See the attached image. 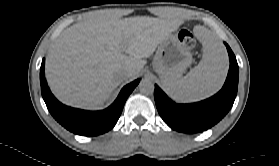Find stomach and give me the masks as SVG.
Returning a JSON list of instances; mask_svg holds the SVG:
<instances>
[{
    "mask_svg": "<svg viewBox=\"0 0 279 166\" xmlns=\"http://www.w3.org/2000/svg\"><path fill=\"white\" fill-rule=\"evenodd\" d=\"M192 62V55L175 35L163 40L155 54L153 68L162 81L180 78Z\"/></svg>",
    "mask_w": 279,
    "mask_h": 166,
    "instance_id": "obj_1",
    "label": "stomach"
}]
</instances>
